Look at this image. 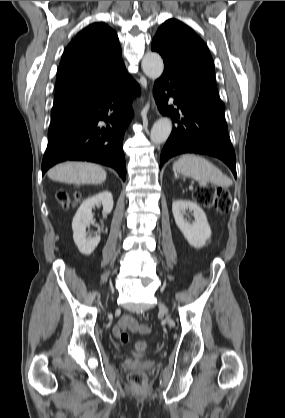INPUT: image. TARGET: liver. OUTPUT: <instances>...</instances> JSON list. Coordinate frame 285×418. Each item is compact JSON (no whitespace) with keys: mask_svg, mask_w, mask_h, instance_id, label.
Wrapping results in <instances>:
<instances>
[{"mask_svg":"<svg viewBox=\"0 0 285 418\" xmlns=\"http://www.w3.org/2000/svg\"><path fill=\"white\" fill-rule=\"evenodd\" d=\"M54 181L69 184H101L107 173L99 165L87 162H65L56 165L47 173Z\"/></svg>","mask_w":285,"mask_h":418,"instance_id":"obj_1","label":"liver"}]
</instances>
